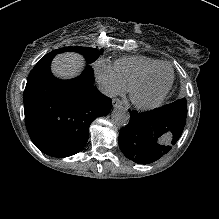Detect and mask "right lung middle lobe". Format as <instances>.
I'll return each mask as SVG.
<instances>
[{"mask_svg":"<svg viewBox=\"0 0 219 219\" xmlns=\"http://www.w3.org/2000/svg\"><path fill=\"white\" fill-rule=\"evenodd\" d=\"M67 51L81 53L87 60L88 64L94 62L99 57L101 52H103V50L98 51L93 48L76 46V47H65V48L54 50L48 53L47 55H45L44 57H54L58 53L67 52Z\"/></svg>","mask_w":219,"mask_h":219,"instance_id":"1","label":"right lung middle lobe"}]
</instances>
